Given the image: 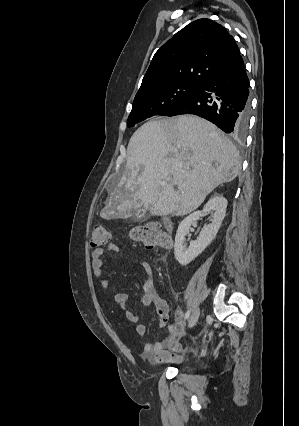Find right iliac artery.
<instances>
[{
    "mask_svg": "<svg viewBox=\"0 0 299 426\" xmlns=\"http://www.w3.org/2000/svg\"><path fill=\"white\" fill-rule=\"evenodd\" d=\"M190 316V310H188L186 313H185V316H184V319H188V317Z\"/></svg>",
    "mask_w": 299,
    "mask_h": 426,
    "instance_id": "obj_1",
    "label": "right iliac artery"
}]
</instances>
